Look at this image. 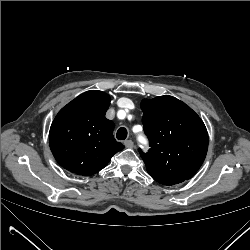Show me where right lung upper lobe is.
<instances>
[{
  "mask_svg": "<svg viewBox=\"0 0 250 250\" xmlns=\"http://www.w3.org/2000/svg\"><path fill=\"white\" fill-rule=\"evenodd\" d=\"M109 105L108 94L90 90L56 115L50 128L49 144L63 168L79 175H93L124 148L113 136V121L105 117Z\"/></svg>",
  "mask_w": 250,
  "mask_h": 250,
  "instance_id": "1",
  "label": "right lung upper lobe"
}]
</instances>
